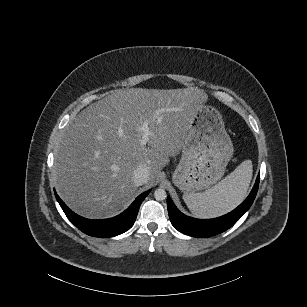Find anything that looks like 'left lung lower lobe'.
Returning <instances> with one entry per match:
<instances>
[{
	"instance_id": "1",
	"label": "left lung lower lobe",
	"mask_w": 307,
	"mask_h": 307,
	"mask_svg": "<svg viewBox=\"0 0 307 307\" xmlns=\"http://www.w3.org/2000/svg\"><path fill=\"white\" fill-rule=\"evenodd\" d=\"M259 180L260 174L257 176L251 193L242 204L230 213L214 219L188 217L176 208L170 197H167V208L172 225L178 231L193 237L205 238L224 232L233 226L250 208L258 191Z\"/></svg>"
}]
</instances>
